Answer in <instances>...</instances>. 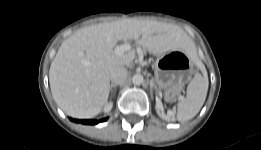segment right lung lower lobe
Returning <instances> with one entry per match:
<instances>
[{"label":"right lung lower lobe","instance_id":"1","mask_svg":"<svg viewBox=\"0 0 261 150\" xmlns=\"http://www.w3.org/2000/svg\"><path fill=\"white\" fill-rule=\"evenodd\" d=\"M71 121H74V122H80L82 124H90V125H94V124H98L99 122H104L107 120V118H104V119H101L99 121L97 120H75V119H72L70 118Z\"/></svg>","mask_w":261,"mask_h":150}]
</instances>
